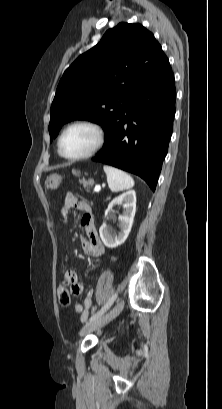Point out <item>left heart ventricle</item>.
<instances>
[{"mask_svg": "<svg viewBox=\"0 0 222 409\" xmlns=\"http://www.w3.org/2000/svg\"><path fill=\"white\" fill-rule=\"evenodd\" d=\"M96 133L86 126L70 129L62 141L63 153L68 156H78L88 152L96 143Z\"/></svg>", "mask_w": 222, "mask_h": 409, "instance_id": "b2bd125f", "label": "left heart ventricle"}]
</instances>
